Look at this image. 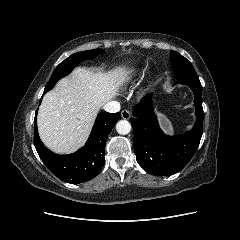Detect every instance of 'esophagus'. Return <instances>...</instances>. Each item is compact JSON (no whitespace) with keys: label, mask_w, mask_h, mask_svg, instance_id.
<instances>
[{"label":"esophagus","mask_w":240,"mask_h":240,"mask_svg":"<svg viewBox=\"0 0 240 240\" xmlns=\"http://www.w3.org/2000/svg\"><path fill=\"white\" fill-rule=\"evenodd\" d=\"M121 117L123 118V119H125V120H129L130 118H131V113H130V111H128V110H123L122 112H121Z\"/></svg>","instance_id":"34e87169"}]
</instances>
